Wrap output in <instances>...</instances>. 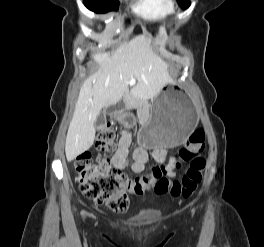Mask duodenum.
I'll list each match as a JSON object with an SVG mask.
<instances>
[{"label":"duodenum","instance_id":"410a0bca","mask_svg":"<svg viewBox=\"0 0 264 247\" xmlns=\"http://www.w3.org/2000/svg\"><path fill=\"white\" fill-rule=\"evenodd\" d=\"M126 104H129V102L128 101H126ZM121 107V105L119 106V108Z\"/></svg>","mask_w":264,"mask_h":247}]
</instances>
